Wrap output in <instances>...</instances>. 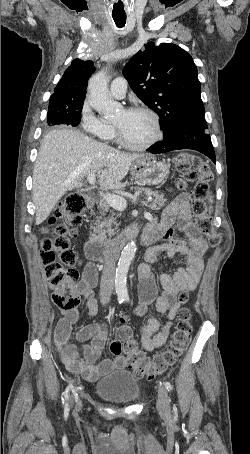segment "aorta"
Instances as JSON below:
<instances>
[{
	"mask_svg": "<svg viewBox=\"0 0 250 454\" xmlns=\"http://www.w3.org/2000/svg\"><path fill=\"white\" fill-rule=\"evenodd\" d=\"M108 81L106 68L93 75L88 83V101L91 107L106 117L114 115L120 109V105L113 101L109 93ZM135 253L136 244L134 241H130L122 250L119 258L115 276V291L118 300L128 298L126 278Z\"/></svg>",
	"mask_w": 250,
	"mask_h": 454,
	"instance_id": "762f6f07",
	"label": "aorta"
}]
</instances>
